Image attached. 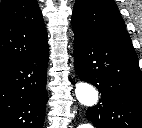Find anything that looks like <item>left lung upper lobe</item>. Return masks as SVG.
I'll list each match as a JSON object with an SVG mask.
<instances>
[{
    "label": "left lung upper lobe",
    "instance_id": "obj_1",
    "mask_svg": "<svg viewBox=\"0 0 142 128\" xmlns=\"http://www.w3.org/2000/svg\"><path fill=\"white\" fill-rule=\"evenodd\" d=\"M73 29L136 56L114 0H76Z\"/></svg>",
    "mask_w": 142,
    "mask_h": 128
}]
</instances>
